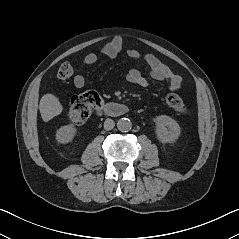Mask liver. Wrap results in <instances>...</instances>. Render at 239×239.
<instances>
[{
  "label": "liver",
  "instance_id": "6515ba94",
  "mask_svg": "<svg viewBox=\"0 0 239 239\" xmlns=\"http://www.w3.org/2000/svg\"><path fill=\"white\" fill-rule=\"evenodd\" d=\"M39 110L43 121L48 122L55 116L61 114L63 107L55 95L47 93L43 95L40 100Z\"/></svg>",
  "mask_w": 239,
  "mask_h": 239
}]
</instances>
